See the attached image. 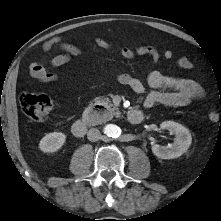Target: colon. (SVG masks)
<instances>
[{
  "label": "colon",
  "instance_id": "obj_1",
  "mask_svg": "<svg viewBox=\"0 0 221 221\" xmlns=\"http://www.w3.org/2000/svg\"><path fill=\"white\" fill-rule=\"evenodd\" d=\"M20 105L26 116L38 123L47 121L52 111V102L49 97L31 92L21 94ZM207 119L211 124H221V114L213 106L208 111Z\"/></svg>",
  "mask_w": 221,
  "mask_h": 221
}]
</instances>
